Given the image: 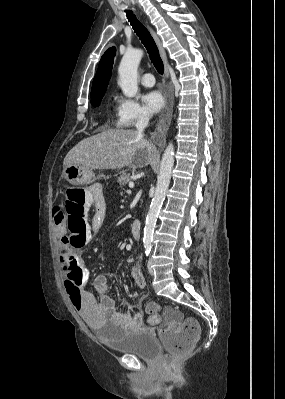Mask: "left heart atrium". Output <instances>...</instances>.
I'll return each instance as SVG.
<instances>
[{"mask_svg": "<svg viewBox=\"0 0 285 399\" xmlns=\"http://www.w3.org/2000/svg\"><path fill=\"white\" fill-rule=\"evenodd\" d=\"M143 103L150 113H157L164 105V98L159 91L153 90L143 96Z\"/></svg>", "mask_w": 285, "mask_h": 399, "instance_id": "39dd6f15", "label": "left heart atrium"}]
</instances>
